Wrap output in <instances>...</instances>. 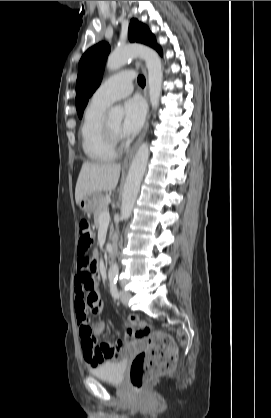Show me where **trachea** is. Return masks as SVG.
<instances>
[{"mask_svg":"<svg viewBox=\"0 0 271 418\" xmlns=\"http://www.w3.org/2000/svg\"><path fill=\"white\" fill-rule=\"evenodd\" d=\"M138 84L142 87L145 86V78L141 75L138 76Z\"/></svg>","mask_w":271,"mask_h":418,"instance_id":"1","label":"trachea"}]
</instances>
